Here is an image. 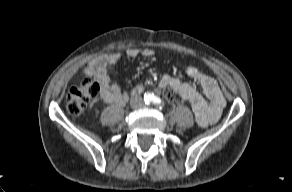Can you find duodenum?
<instances>
[{
  "label": "duodenum",
  "mask_w": 292,
  "mask_h": 192,
  "mask_svg": "<svg viewBox=\"0 0 292 192\" xmlns=\"http://www.w3.org/2000/svg\"><path fill=\"white\" fill-rule=\"evenodd\" d=\"M141 91V87H137V89L134 92H139Z\"/></svg>",
  "instance_id": "410a0bca"
}]
</instances>
